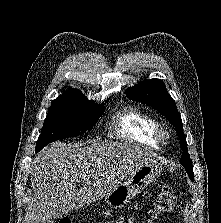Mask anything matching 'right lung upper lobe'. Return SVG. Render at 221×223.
<instances>
[{
	"label": "right lung upper lobe",
	"mask_w": 221,
	"mask_h": 223,
	"mask_svg": "<svg viewBox=\"0 0 221 223\" xmlns=\"http://www.w3.org/2000/svg\"><path fill=\"white\" fill-rule=\"evenodd\" d=\"M65 102H93L89 101L79 90L69 89L60 95L52 103H65Z\"/></svg>",
	"instance_id": "cb5924a9"
}]
</instances>
